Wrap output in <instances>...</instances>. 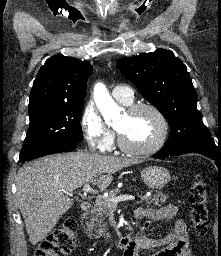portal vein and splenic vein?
Listing matches in <instances>:
<instances>
[{
	"label": "portal vein and splenic vein",
	"mask_w": 221,
	"mask_h": 256,
	"mask_svg": "<svg viewBox=\"0 0 221 256\" xmlns=\"http://www.w3.org/2000/svg\"><path fill=\"white\" fill-rule=\"evenodd\" d=\"M82 191L85 194H87V193L98 194V191L91 188L88 183L84 184ZM99 197H101V196H99ZM133 200H135V196L125 194V195H120V196H117V197L110 198L109 202H110V205L112 207H116L117 204L121 201H133Z\"/></svg>",
	"instance_id": "obj_1"
}]
</instances>
